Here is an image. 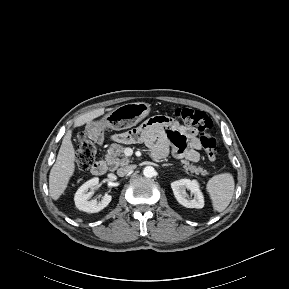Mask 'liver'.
<instances>
[{
	"mask_svg": "<svg viewBox=\"0 0 289 289\" xmlns=\"http://www.w3.org/2000/svg\"><path fill=\"white\" fill-rule=\"evenodd\" d=\"M112 108L106 109L111 111ZM104 114V108L95 109L79 116L73 127H79L91 122L93 119ZM72 130H68L62 140L56 162L52 166L49 175V193L52 199L58 200L65 192L70 178L75 171V149L71 141Z\"/></svg>",
	"mask_w": 289,
	"mask_h": 289,
	"instance_id": "liver-1",
	"label": "liver"
}]
</instances>
